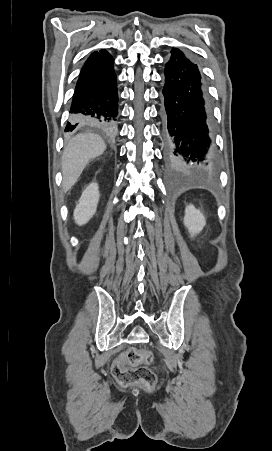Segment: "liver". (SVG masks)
Segmentation results:
<instances>
[{"label": "liver", "mask_w": 272, "mask_h": 451, "mask_svg": "<svg viewBox=\"0 0 272 451\" xmlns=\"http://www.w3.org/2000/svg\"><path fill=\"white\" fill-rule=\"evenodd\" d=\"M106 150V144L98 134H78L64 148L62 166V188L68 192L79 176H81L89 160L101 156Z\"/></svg>", "instance_id": "1"}]
</instances>
